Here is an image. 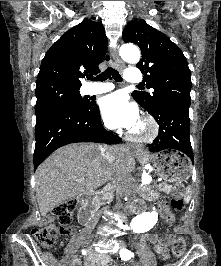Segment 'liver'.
Segmentation results:
<instances>
[{
    "label": "liver",
    "mask_w": 221,
    "mask_h": 266,
    "mask_svg": "<svg viewBox=\"0 0 221 266\" xmlns=\"http://www.w3.org/2000/svg\"><path fill=\"white\" fill-rule=\"evenodd\" d=\"M100 148L92 143L66 145L38 167L35 191L43 217L59 204L104 185L114 175L127 177L134 170L135 161L128 148L111 147L113 163L102 156Z\"/></svg>",
    "instance_id": "liver-1"
}]
</instances>
